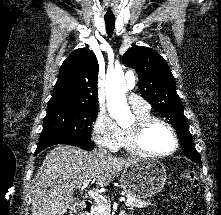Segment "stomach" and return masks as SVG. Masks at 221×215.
Segmentation results:
<instances>
[{"label":"stomach","instance_id":"stomach-1","mask_svg":"<svg viewBox=\"0 0 221 215\" xmlns=\"http://www.w3.org/2000/svg\"><path fill=\"white\" fill-rule=\"evenodd\" d=\"M166 179L163 164L157 160L140 159L124 168L120 183L128 195L146 199L159 193L164 188Z\"/></svg>","mask_w":221,"mask_h":215}]
</instances>
